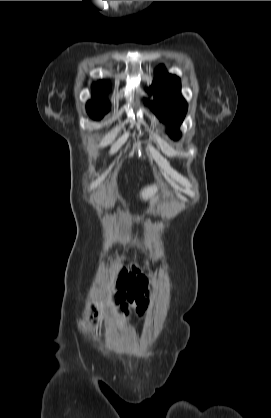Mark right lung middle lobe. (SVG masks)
Instances as JSON below:
<instances>
[{"label":"right lung middle lobe","mask_w":271,"mask_h":418,"mask_svg":"<svg viewBox=\"0 0 271 418\" xmlns=\"http://www.w3.org/2000/svg\"><path fill=\"white\" fill-rule=\"evenodd\" d=\"M94 119H99V118H101L102 116H98V115H92V114H90Z\"/></svg>","instance_id":"right-lung-middle-lobe-1"}]
</instances>
